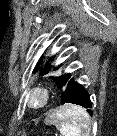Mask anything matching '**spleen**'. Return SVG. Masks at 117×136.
<instances>
[{
  "instance_id": "1",
  "label": "spleen",
  "mask_w": 117,
  "mask_h": 136,
  "mask_svg": "<svg viewBox=\"0 0 117 136\" xmlns=\"http://www.w3.org/2000/svg\"><path fill=\"white\" fill-rule=\"evenodd\" d=\"M62 136H89L90 117L82 107L64 105L55 109L46 119Z\"/></svg>"
}]
</instances>
